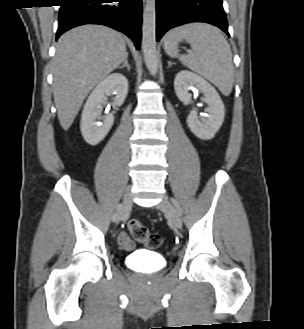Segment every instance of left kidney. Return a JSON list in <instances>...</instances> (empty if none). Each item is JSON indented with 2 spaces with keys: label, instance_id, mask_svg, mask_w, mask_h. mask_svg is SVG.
Here are the masks:
<instances>
[{
  "label": "left kidney",
  "instance_id": "obj_1",
  "mask_svg": "<svg viewBox=\"0 0 304 329\" xmlns=\"http://www.w3.org/2000/svg\"><path fill=\"white\" fill-rule=\"evenodd\" d=\"M174 89L179 100L185 103L191 102L189 90L196 89L203 93V101L208 105L207 117L199 120L197 112L193 110L187 118V124L199 139H212L222 126L225 116V107L216 89L199 75L187 70L176 75Z\"/></svg>",
  "mask_w": 304,
  "mask_h": 329
}]
</instances>
